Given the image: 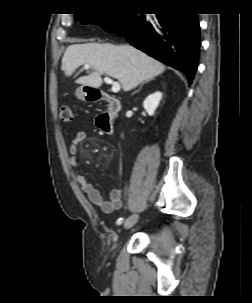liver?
<instances>
[{
  "instance_id": "1",
  "label": "liver",
  "mask_w": 252,
  "mask_h": 303,
  "mask_svg": "<svg viewBox=\"0 0 252 303\" xmlns=\"http://www.w3.org/2000/svg\"><path fill=\"white\" fill-rule=\"evenodd\" d=\"M84 64L91 65L93 72L78 78L76 83L98 88L102 85L101 76L105 74L117 79L124 91L165 71L162 63L130 45L85 43L68 46L61 67L65 75H72Z\"/></svg>"
}]
</instances>
